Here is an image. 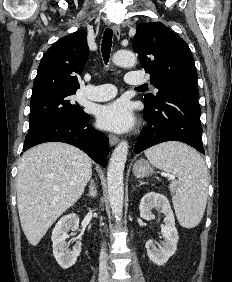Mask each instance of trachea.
<instances>
[{
	"instance_id": "trachea-1",
	"label": "trachea",
	"mask_w": 232,
	"mask_h": 282,
	"mask_svg": "<svg viewBox=\"0 0 232 282\" xmlns=\"http://www.w3.org/2000/svg\"><path fill=\"white\" fill-rule=\"evenodd\" d=\"M112 37H113V31L111 29H106L104 31L102 47H101L102 56L105 63L109 62V57L112 47ZM139 88H144V86H140Z\"/></svg>"
}]
</instances>
